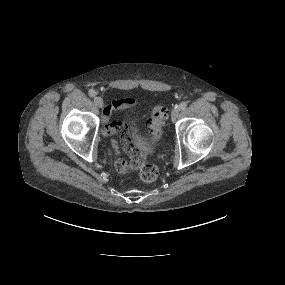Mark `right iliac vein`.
I'll return each instance as SVG.
<instances>
[{"instance_id":"right-iliac-vein-1","label":"right iliac vein","mask_w":285,"mask_h":285,"mask_svg":"<svg viewBox=\"0 0 285 285\" xmlns=\"http://www.w3.org/2000/svg\"><path fill=\"white\" fill-rule=\"evenodd\" d=\"M94 102L97 107L102 108L103 107V99L101 97H95Z\"/></svg>"}]
</instances>
